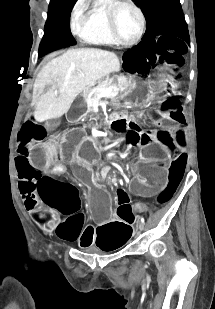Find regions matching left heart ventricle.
I'll return each instance as SVG.
<instances>
[{
    "mask_svg": "<svg viewBox=\"0 0 215 309\" xmlns=\"http://www.w3.org/2000/svg\"><path fill=\"white\" fill-rule=\"evenodd\" d=\"M114 13L118 14V19L114 20V22H118V34H126L130 39L134 35L136 26L134 14L125 8L118 9ZM126 36H123V39H126Z\"/></svg>",
    "mask_w": 215,
    "mask_h": 309,
    "instance_id": "b2bd125f",
    "label": "left heart ventricle"
}]
</instances>
